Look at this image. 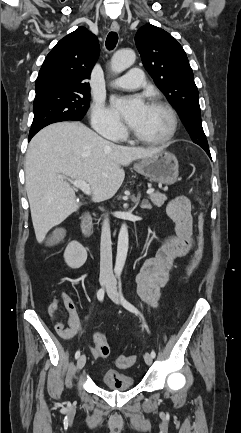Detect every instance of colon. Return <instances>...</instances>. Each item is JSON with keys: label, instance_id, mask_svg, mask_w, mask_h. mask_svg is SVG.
Returning a JSON list of instances; mask_svg holds the SVG:
<instances>
[{"label": "colon", "instance_id": "5ec220e1", "mask_svg": "<svg viewBox=\"0 0 241 433\" xmlns=\"http://www.w3.org/2000/svg\"><path fill=\"white\" fill-rule=\"evenodd\" d=\"M204 248V217L203 215H200L198 218V243L191 262L187 268L188 276L191 275L192 272L198 267L204 254ZM97 351L99 357L107 358L110 355V346L105 340H103L98 344ZM134 360L135 358L133 356L121 355L117 358L116 364L121 369H128L133 365Z\"/></svg>", "mask_w": 241, "mask_h": 433}]
</instances>
